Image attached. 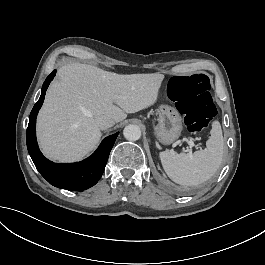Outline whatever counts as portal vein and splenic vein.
<instances>
[{
	"label": "portal vein and splenic vein",
	"instance_id": "1",
	"mask_svg": "<svg viewBox=\"0 0 265 265\" xmlns=\"http://www.w3.org/2000/svg\"><path fill=\"white\" fill-rule=\"evenodd\" d=\"M187 144L189 145L190 149L186 150L189 155H192V148L195 146L194 142L192 140H187ZM198 148V146H196Z\"/></svg>",
	"mask_w": 265,
	"mask_h": 265
}]
</instances>
